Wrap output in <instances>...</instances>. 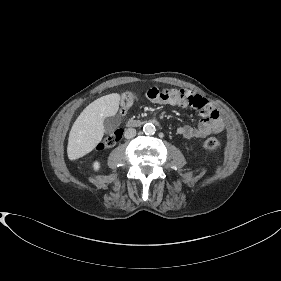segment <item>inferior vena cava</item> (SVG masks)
Segmentation results:
<instances>
[{
	"label": "inferior vena cava",
	"mask_w": 281,
	"mask_h": 281,
	"mask_svg": "<svg viewBox=\"0 0 281 281\" xmlns=\"http://www.w3.org/2000/svg\"><path fill=\"white\" fill-rule=\"evenodd\" d=\"M135 135H136V130L134 128H128L124 132V136L126 139H131L135 137Z\"/></svg>",
	"instance_id": "obj_1"
}]
</instances>
